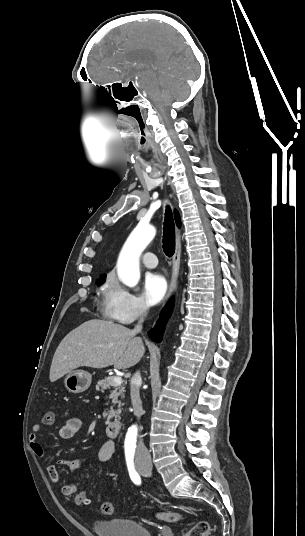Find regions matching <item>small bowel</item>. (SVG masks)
<instances>
[{"label": "small bowel", "instance_id": "obj_1", "mask_svg": "<svg viewBox=\"0 0 305 536\" xmlns=\"http://www.w3.org/2000/svg\"><path fill=\"white\" fill-rule=\"evenodd\" d=\"M82 428V420L78 417L69 418L65 425L62 426L58 431V436L61 439L67 440L73 438ZM42 427H32L31 433L29 436L30 448L32 452L38 456H44V449L39 442L38 435L41 432ZM114 443L112 441H106L102 444L100 450L97 454V459L100 462H107L110 460L112 454L114 453ZM89 461L88 458H62L58 461V464L68 468L71 471H75L85 465ZM48 477L51 481L57 482L59 480V472L55 464L47 463L45 466ZM77 487L75 484H65L61 488V493L63 496H72L76 494ZM79 494V493H78Z\"/></svg>", "mask_w": 305, "mask_h": 536}]
</instances>
